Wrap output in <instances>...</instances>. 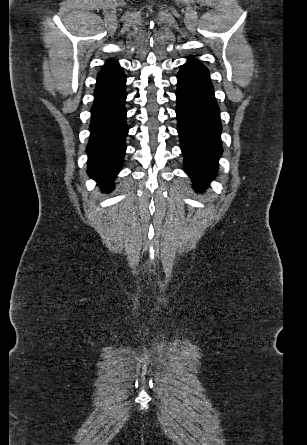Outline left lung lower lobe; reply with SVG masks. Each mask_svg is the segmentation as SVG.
<instances>
[{"label":"left lung lower lobe","mask_w":307,"mask_h":445,"mask_svg":"<svg viewBox=\"0 0 307 445\" xmlns=\"http://www.w3.org/2000/svg\"><path fill=\"white\" fill-rule=\"evenodd\" d=\"M177 81V130L184 168L201 192L214 177L222 154L220 111L208 69L199 61L188 60Z\"/></svg>","instance_id":"1"}]
</instances>
